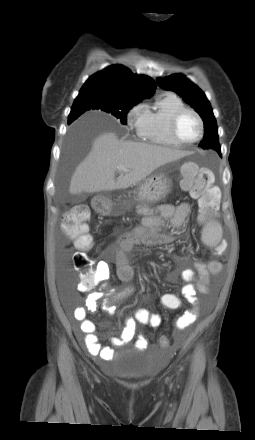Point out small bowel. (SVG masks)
Masks as SVG:
<instances>
[{"label":"small bowel","mask_w":255,"mask_h":440,"mask_svg":"<svg viewBox=\"0 0 255 440\" xmlns=\"http://www.w3.org/2000/svg\"><path fill=\"white\" fill-rule=\"evenodd\" d=\"M191 209L189 204L183 203L178 206L161 205L157 213L143 218L142 225L122 234L114 248V264L116 267L117 278L122 283L119 288L104 285L103 292H92L87 297L85 307H76L73 310V317L80 323V331L84 334L82 343L87 351L102 360L112 361L116 353L113 347L102 346L95 334V324L88 319V311H97L99 309L98 301L104 297L101 309L108 315H112L113 307L119 301L130 296L135 288L130 284L133 278L134 270L128 261V253L137 245L158 246L172 243L174 237L166 231L163 224L169 220L174 229H179L188 216ZM222 265L217 260L208 262L195 261L193 269H183L170 275L172 280L178 276L185 282L181 288V294L184 299L194 308L199 305L198 293L206 294L210 289L211 275L220 273ZM110 278V264L107 261H99L96 265V283L104 282ZM197 279V283L192 282ZM161 298H180L176 294L166 293ZM160 298V299H161ZM181 300V299H180ZM197 318L195 310L185 311L177 320L176 327L179 330L187 328ZM136 323L158 327L161 318L158 314L150 312L148 309L140 308L135 311L133 316L125 319V327L121 335L117 338H111L113 346H120L134 338ZM138 347H145L147 340L140 335L137 340Z\"/></svg>","instance_id":"1"}]
</instances>
